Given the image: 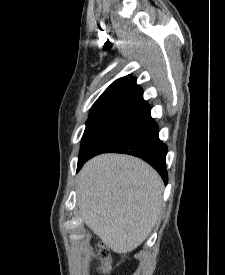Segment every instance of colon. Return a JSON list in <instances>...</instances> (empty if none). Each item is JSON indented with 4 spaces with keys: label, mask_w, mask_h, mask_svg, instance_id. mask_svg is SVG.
I'll list each match as a JSON object with an SVG mask.
<instances>
[{
    "label": "colon",
    "mask_w": 225,
    "mask_h": 275,
    "mask_svg": "<svg viewBox=\"0 0 225 275\" xmlns=\"http://www.w3.org/2000/svg\"><path fill=\"white\" fill-rule=\"evenodd\" d=\"M99 257L101 260L100 272L103 275H107L110 270V267H111V258H110V254L106 248H104V247L101 248V250L99 252Z\"/></svg>",
    "instance_id": "colon-1"
}]
</instances>
